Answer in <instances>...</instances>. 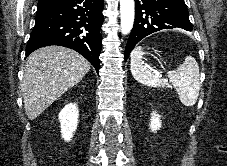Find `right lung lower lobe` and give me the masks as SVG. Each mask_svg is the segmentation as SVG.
<instances>
[{
    "label": "right lung lower lobe",
    "mask_w": 227,
    "mask_h": 166,
    "mask_svg": "<svg viewBox=\"0 0 227 166\" xmlns=\"http://www.w3.org/2000/svg\"><path fill=\"white\" fill-rule=\"evenodd\" d=\"M103 0H56L38 7L26 57L38 48L59 45L84 56L100 68Z\"/></svg>",
    "instance_id": "1"
}]
</instances>
